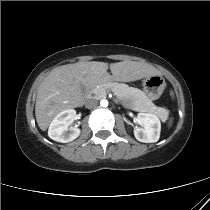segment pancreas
Listing matches in <instances>:
<instances>
[{
	"instance_id": "1",
	"label": "pancreas",
	"mask_w": 210,
	"mask_h": 210,
	"mask_svg": "<svg viewBox=\"0 0 210 210\" xmlns=\"http://www.w3.org/2000/svg\"><path fill=\"white\" fill-rule=\"evenodd\" d=\"M108 91H112L117 97L131 98L133 104L131 108L135 111L148 112L155 114L158 108L152 101L145 95V93L137 88L129 87L127 84L118 82H109L101 84L92 90V93L97 98H103L107 95Z\"/></svg>"
}]
</instances>
